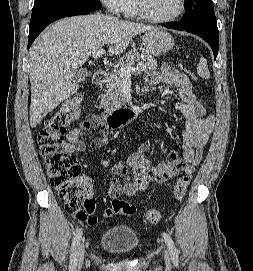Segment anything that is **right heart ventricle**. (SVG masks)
Instances as JSON below:
<instances>
[{"mask_svg": "<svg viewBox=\"0 0 253 271\" xmlns=\"http://www.w3.org/2000/svg\"><path fill=\"white\" fill-rule=\"evenodd\" d=\"M128 17L137 16L134 0H127L122 10Z\"/></svg>", "mask_w": 253, "mask_h": 271, "instance_id": "right-heart-ventricle-1", "label": "right heart ventricle"}]
</instances>
